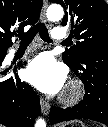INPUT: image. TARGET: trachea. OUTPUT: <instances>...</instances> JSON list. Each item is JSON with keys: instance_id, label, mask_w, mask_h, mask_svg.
Segmentation results:
<instances>
[{"instance_id": "3493384b", "label": "trachea", "mask_w": 108, "mask_h": 127, "mask_svg": "<svg viewBox=\"0 0 108 127\" xmlns=\"http://www.w3.org/2000/svg\"><path fill=\"white\" fill-rule=\"evenodd\" d=\"M39 33L41 39L45 42H51L52 40L49 37L48 30L43 23H38L34 25L29 31L24 34H19L20 45H29L34 37ZM65 43V42H63Z\"/></svg>"}]
</instances>
